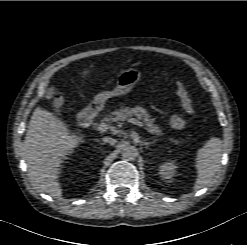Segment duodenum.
Instances as JSON below:
<instances>
[{
    "label": "duodenum",
    "mask_w": 247,
    "mask_h": 245,
    "mask_svg": "<svg viewBox=\"0 0 247 245\" xmlns=\"http://www.w3.org/2000/svg\"><path fill=\"white\" fill-rule=\"evenodd\" d=\"M96 114L97 109L95 107L83 109L78 116L79 123L84 127L90 126Z\"/></svg>",
    "instance_id": "obj_1"
}]
</instances>
